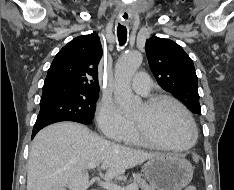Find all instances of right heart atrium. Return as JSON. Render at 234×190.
Returning <instances> with one entry per match:
<instances>
[{
    "mask_svg": "<svg viewBox=\"0 0 234 190\" xmlns=\"http://www.w3.org/2000/svg\"><path fill=\"white\" fill-rule=\"evenodd\" d=\"M96 121L102 134L115 141H120L131 125V121L110 98H102L99 101Z\"/></svg>",
    "mask_w": 234,
    "mask_h": 190,
    "instance_id": "d8ad5b80",
    "label": "right heart atrium"
}]
</instances>
